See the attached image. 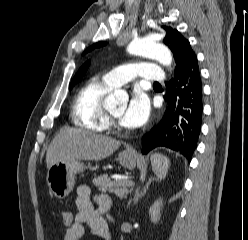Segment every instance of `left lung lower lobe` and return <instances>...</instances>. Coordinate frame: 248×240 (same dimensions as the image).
Instances as JSON below:
<instances>
[{
  "mask_svg": "<svg viewBox=\"0 0 248 240\" xmlns=\"http://www.w3.org/2000/svg\"><path fill=\"white\" fill-rule=\"evenodd\" d=\"M168 107L160 121L142 141L143 154L164 146L189 162L197 147L202 125V82L194 55L168 83Z\"/></svg>",
  "mask_w": 248,
  "mask_h": 240,
  "instance_id": "left-lung-lower-lobe-1",
  "label": "left lung lower lobe"
}]
</instances>
